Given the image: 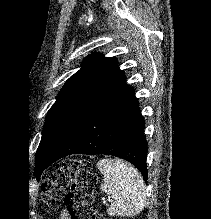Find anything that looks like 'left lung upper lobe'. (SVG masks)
Here are the masks:
<instances>
[{
  "instance_id": "left-lung-upper-lobe-1",
  "label": "left lung upper lobe",
  "mask_w": 211,
  "mask_h": 219,
  "mask_svg": "<svg viewBox=\"0 0 211 219\" xmlns=\"http://www.w3.org/2000/svg\"><path fill=\"white\" fill-rule=\"evenodd\" d=\"M82 68L65 83L47 113L42 139L37 149L50 158L77 121L124 75L114 58L92 54ZM36 161V177H40Z\"/></svg>"
}]
</instances>
